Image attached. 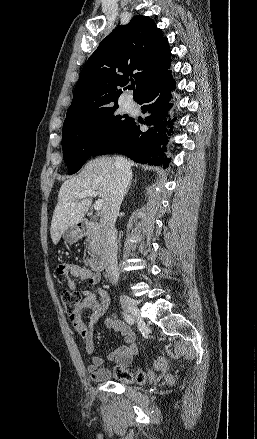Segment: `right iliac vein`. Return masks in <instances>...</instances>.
Listing matches in <instances>:
<instances>
[{"instance_id": "63e3f726", "label": "right iliac vein", "mask_w": 257, "mask_h": 439, "mask_svg": "<svg viewBox=\"0 0 257 439\" xmlns=\"http://www.w3.org/2000/svg\"><path fill=\"white\" fill-rule=\"evenodd\" d=\"M120 303L123 307V309L136 317H139V311L137 308V302L136 300L128 297L127 295L121 294L119 297Z\"/></svg>"}]
</instances>
